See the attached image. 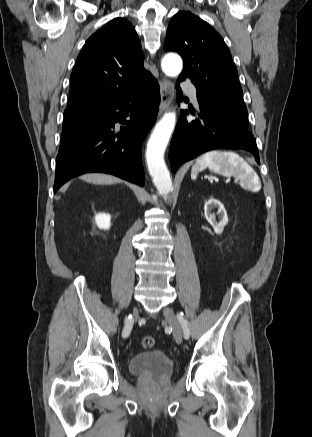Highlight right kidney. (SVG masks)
Listing matches in <instances>:
<instances>
[{
	"label": "right kidney",
	"instance_id": "obj_1",
	"mask_svg": "<svg viewBox=\"0 0 312 437\" xmlns=\"http://www.w3.org/2000/svg\"><path fill=\"white\" fill-rule=\"evenodd\" d=\"M110 220L109 214L99 213L95 216V222L100 229L108 230L111 225Z\"/></svg>",
	"mask_w": 312,
	"mask_h": 437
}]
</instances>
